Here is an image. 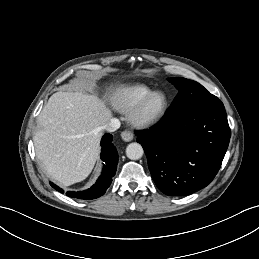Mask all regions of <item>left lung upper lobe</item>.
<instances>
[{
    "instance_id": "obj_1",
    "label": "left lung upper lobe",
    "mask_w": 259,
    "mask_h": 259,
    "mask_svg": "<svg viewBox=\"0 0 259 259\" xmlns=\"http://www.w3.org/2000/svg\"><path fill=\"white\" fill-rule=\"evenodd\" d=\"M178 94L167 114L178 113L190 108L216 102L219 99L208 92L201 84L186 78H169Z\"/></svg>"
}]
</instances>
